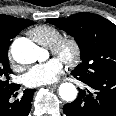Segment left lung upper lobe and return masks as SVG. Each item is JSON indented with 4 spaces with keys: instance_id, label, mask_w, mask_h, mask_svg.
<instances>
[{
    "instance_id": "left-lung-upper-lobe-1",
    "label": "left lung upper lobe",
    "mask_w": 116,
    "mask_h": 116,
    "mask_svg": "<svg viewBox=\"0 0 116 116\" xmlns=\"http://www.w3.org/2000/svg\"><path fill=\"white\" fill-rule=\"evenodd\" d=\"M74 37L82 62L73 72L84 79L116 74V25L93 13L81 12L68 18L47 19Z\"/></svg>"
}]
</instances>
